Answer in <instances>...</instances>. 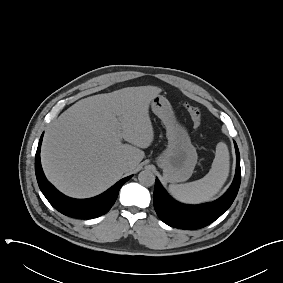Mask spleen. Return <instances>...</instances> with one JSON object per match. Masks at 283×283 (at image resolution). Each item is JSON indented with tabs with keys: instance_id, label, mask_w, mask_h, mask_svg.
<instances>
[{
	"instance_id": "spleen-1",
	"label": "spleen",
	"mask_w": 283,
	"mask_h": 283,
	"mask_svg": "<svg viewBox=\"0 0 283 283\" xmlns=\"http://www.w3.org/2000/svg\"><path fill=\"white\" fill-rule=\"evenodd\" d=\"M229 175V151L224 142L216 146V154L208 174L185 184L169 185V192L180 202L199 204L213 199Z\"/></svg>"
}]
</instances>
